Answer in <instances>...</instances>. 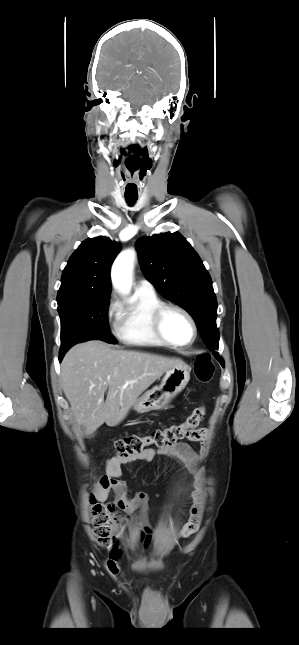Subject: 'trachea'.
I'll return each mask as SVG.
<instances>
[{"mask_svg": "<svg viewBox=\"0 0 299 645\" xmlns=\"http://www.w3.org/2000/svg\"><path fill=\"white\" fill-rule=\"evenodd\" d=\"M125 199H126V202L129 205H133L136 202V200L138 199V197L137 196H125Z\"/></svg>", "mask_w": 299, "mask_h": 645, "instance_id": "3493384b", "label": "trachea"}]
</instances>
